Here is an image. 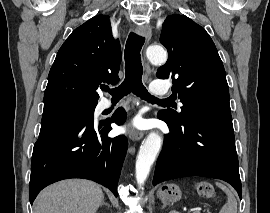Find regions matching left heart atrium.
<instances>
[{
  "mask_svg": "<svg viewBox=\"0 0 270 213\" xmlns=\"http://www.w3.org/2000/svg\"><path fill=\"white\" fill-rule=\"evenodd\" d=\"M134 126L139 127L140 126V122L139 121L134 122Z\"/></svg>",
  "mask_w": 270,
  "mask_h": 213,
  "instance_id": "left-heart-atrium-1",
  "label": "left heart atrium"
}]
</instances>
